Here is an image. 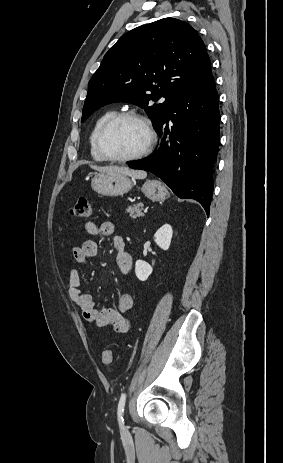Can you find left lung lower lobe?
Returning a JSON list of instances; mask_svg holds the SVG:
<instances>
[{
	"instance_id": "1",
	"label": "left lung lower lobe",
	"mask_w": 283,
	"mask_h": 463,
	"mask_svg": "<svg viewBox=\"0 0 283 463\" xmlns=\"http://www.w3.org/2000/svg\"><path fill=\"white\" fill-rule=\"evenodd\" d=\"M169 120L173 123L171 127L167 124ZM219 122L218 94L210 71L169 108L156 129L162 136L158 151L128 165L158 176L179 198L198 201L209 215Z\"/></svg>"
}]
</instances>
